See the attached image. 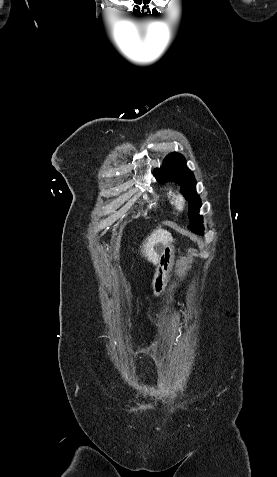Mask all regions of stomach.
Listing matches in <instances>:
<instances>
[{
	"mask_svg": "<svg viewBox=\"0 0 277 477\" xmlns=\"http://www.w3.org/2000/svg\"><path fill=\"white\" fill-rule=\"evenodd\" d=\"M174 252L175 249L171 243L164 246L161 251L156 272L152 280L153 295L155 297H158L165 292L173 266L175 257Z\"/></svg>",
	"mask_w": 277,
	"mask_h": 477,
	"instance_id": "1",
	"label": "stomach"
}]
</instances>
